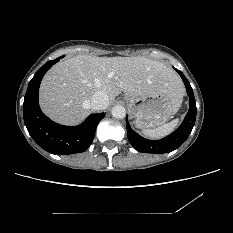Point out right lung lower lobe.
<instances>
[{
  "label": "right lung lower lobe",
  "mask_w": 233,
  "mask_h": 233,
  "mask_svg": "<svg viewBox=\"0 0 233 233\" xmlns=\"http://www.w3.org/2000/svg\"><path fill=\"white\" fill-rule=\"evenodd\" d=\"M60 58L48 61L35 73L24 98L23 116L30 136L41 148L52 154L68 155L88 149L105 113L91 114L81 125L75 127L59 125L42 113L38 103L40 82Z\"/></svg>",
  "instance_id": "right-lung-lower-lobe-1"
}]
</instances>
